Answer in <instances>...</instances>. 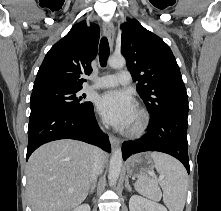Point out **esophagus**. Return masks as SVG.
Masks as SVG:
<instances>
[{"label":"esophagus","mask_w":221,"mask_h":211,"mask_svg":"<svg viewBox=\"0 0 221 211\" xmlns=\"http://www.w3.org/2000/svg\"><path fill=\"white\" fill-rule=\"evenodd\" d=\"M103 31L108 38L110 47L112 48L114 44V37H115V30H114L113 24L103 23ZM109 140H110L112 147L117 146L120 142L119 139L112 134L109 135Z\"/></svg>","instance_id":"obj_1"}]
</instances>
